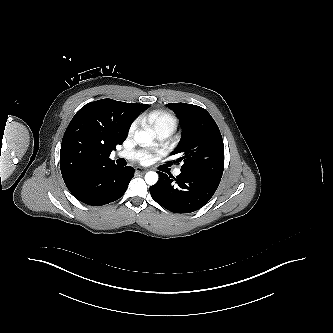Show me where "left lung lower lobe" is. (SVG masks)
Returning <instances> with one entry per match:
<instances>
[{
  "mask_svg": "<svg viewBox=\"0 0 333 333\" xmlns=\"http://www.w3.org/2000/svg\"><path fill=\"white\" fill-rule=\"evenodd\" d=\"M160 180L150 187L152 198L173 213H191L214 195L220 180L201 174L180 173L176 178L158 172Z\"/></svg>",
  "mask_w": 333,
  "mask_h": 333,
  "instance_id": "0a47b994",
  "label": "left lung lower lobe"
}]
</instances>
